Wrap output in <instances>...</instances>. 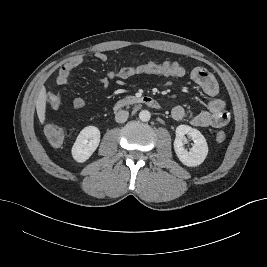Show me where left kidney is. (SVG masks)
I'll use <instances>...</instances> for the list:
<instances>
[{"label": "left kidney", "instance_id": "left-kidney-1", "mask_svg": "<svg viewBox=\"0 0 267 267\" xmlns=\"http://www.w3.org/2000/svg\"><path fill=\"white\" fill-rule=\"evenodd\" d=\"M175 133L174 150L179 160L188 167L202 164L208 154V145L202 133L188 125H179ZM185 135L190 136L194 142L189 151L183 146Z\"/></svg>", "mask_w": 267, "mask_h": 267}]
</instances>
